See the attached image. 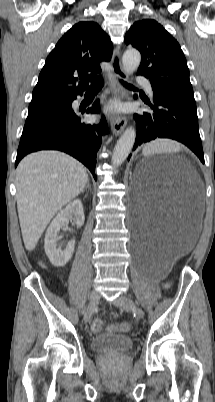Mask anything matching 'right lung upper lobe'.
I'll use <instances>...</instances> for the list:
<instances>
[{"label": "right lung upper lobe", "mask_w": 215, "mask_h": 402, "mask_svg": "<svg viewBox=\"0 0 215 402\" xmlns=\"http://www.w3.org/2000/svg\"><path fill=\"white\" fill-rule=\"evenodd\" d=\"M113 46L109 36L92 21L75 24L58 41L46 59L32 93V101L76 98L88 76L101 73L99 63L109 61Z\"/></svg>", "instance_id": "1"}]
</instances>
